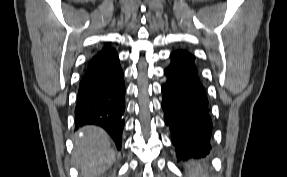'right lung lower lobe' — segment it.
I'll use <instances>...</instances> for the list:
<instances>
[{"instance_id":"right-lung-lower-lobe-1","label":"right lung lower lobe","mask_w":287,"mask_h":177,"mask_svg":"<svg viewBox=\"0 0 287 177\" xmlns=\"http://www.w3.org/2000/svg\"><path fill=\"white\" fill-rule=\"evenodd\" d=\"M124 75L117 52L110 46L96 52L81 76L75 107L76 128L97 125L122 145L125 110Z\"/></svg>"}]
</instances>
